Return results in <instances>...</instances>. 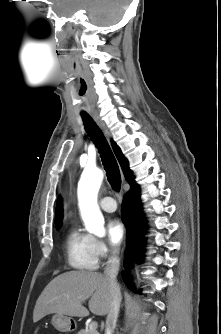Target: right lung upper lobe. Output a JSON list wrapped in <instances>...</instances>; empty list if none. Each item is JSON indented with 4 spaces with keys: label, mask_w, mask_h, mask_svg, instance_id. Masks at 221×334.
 Listing matches in <instances>:
<instances>
[{
    "label": "right lung upper lobe",
    "mask_w": 221,
    "mask_h": 334,
    "mask_svg": "<svg viewBox=\"0 0 221 334\" xmlns=\"http://www.w3.org/2000/svg\"><path fill=\"white\" fill-rule=\"evenodd\" d=\"M114 152L117 156V159L122 167V170L124 172L125 178L129 181L130 185L134 184L135 181L132 179V171L129 169L128 161L122 154L120 148L115 142H112ZM62 221V203L60 198L57 201L56 205V212H55V225L56 228L61 226Z\"/></svg>",
    "instance_id": "1"
}]
</instances>
